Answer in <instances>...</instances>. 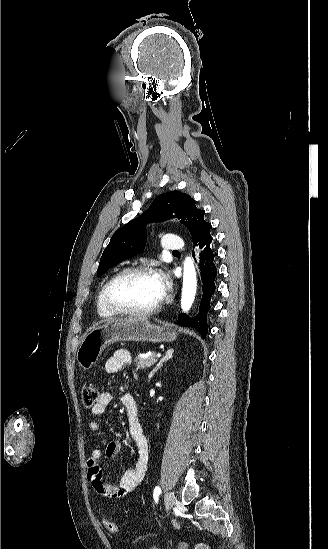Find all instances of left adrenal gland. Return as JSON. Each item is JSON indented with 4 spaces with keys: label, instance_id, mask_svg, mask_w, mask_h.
Wrapping results in <instances>:
<instances>
[{
    "label": "left adrenal gland",
    "instance_id": "a2214340",
    "mask_svg": "<svg viewBox=\"0 0 328 549\" xmlns=\"http://www.w3.org/2000/svg\"><path fill=\"white\" fill-rule=\"evenodd\" d=\"M173 353H174V349H168V351H166L165 357H163V359H161L160 363H158V365H156L155 369H153V371H151V377H153L154 373H157L158 369H161V367H163V363H166V361H169V359H172Z\"/></svg>",
    "mask_w": 328,
    "mask_h": 549
}]
</instances>
